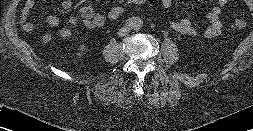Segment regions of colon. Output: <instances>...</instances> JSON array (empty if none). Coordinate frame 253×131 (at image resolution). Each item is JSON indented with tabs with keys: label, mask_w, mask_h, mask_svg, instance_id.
I'll return each instance as SVG.
<instances>
[{
	"label": "colon",
	"mask_w": 253,
	"mask_h": 131,
	"mask_svg": "<svg viewBox=\"0 0 253 131\" xmlns=\"http://www.w3.org/2000/svg\"><path fill=\"white\" fill-rule=\"evenodd\" d=\"M153 0H122L112 5L106 12V18L109 20H116L125 15L132 7L140 6L148 3H152ZM247 22L244 18H237L232 24V28L235 30L244 29ZM51 41V40H50ZM50 41H46L48 43Z\"/></svg>",
	"instance_id": "1"
}]
</instances>
